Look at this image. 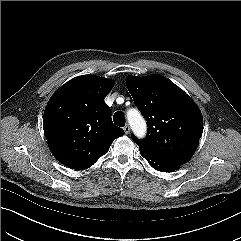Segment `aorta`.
Listing matches in <instances>:
<instances>
[{
    "label": "aorta",
    "instance_id": "obj_1",
    "mask_svg": "<svg viewBox=\"0 0 241 241\" xmlns=\"http://www.w3.org/2000/svg\"><path fill=\"white\" fill-rule=\"evenodd\" d=\"M127 118L133 133L137 137L143 138L147 131V125L141 114L136 110H131L128 112Z\"/></svg>",
    "mask_w": 241,
    "mask_h": 241
}]
</instances>
